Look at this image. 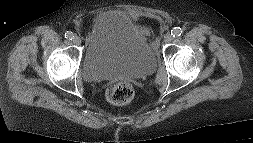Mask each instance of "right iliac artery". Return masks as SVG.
Here are the masks:
<instances>
[{
	"label": "right iliac artery",
	"instance_id": "82829eb1",
	"mask_svg": "<svg viewBox=\"0 0 253 143\" xmlns=\"http://www.w3.org/2000/svg\"><path fill=\"white\" fill-rule=\"evenodd\" d=\"M65 37H66L67 39H69V40H72V38H73V33L67 31V32L65 33Z\"/></svg>",
	"mask_w": 253,
	"mask_h": 143
}]
</instances>
